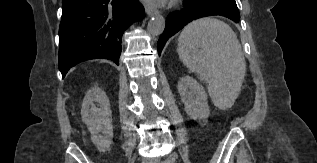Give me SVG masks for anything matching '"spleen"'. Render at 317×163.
<instances>
[{
  "mask_svg": "<svg viewBox=\"0 0 317 163\" xmlns=\"http://www.w3.org/2000/svg\"><path fill=\"white\" fill-rule=\"evenodd\" d=\"M177 51L182 63L208 84L214 105L230 108L246 71L241 44L231 27L211 17L193 21L181 32Z\"/></svg>",
  "mask_w": 317,
  "mask_h": 163,
  "instance_id": "obj_1",
  "label": "spleen"
}]
</instances>
